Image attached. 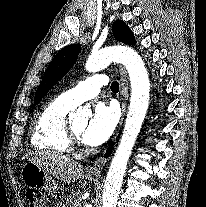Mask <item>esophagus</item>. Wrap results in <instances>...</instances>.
I'll return each instance as SVG.
<instances>
[{"instance_id":"esophagus-1","label":"esophagus","mask_w":206,"mask_h":207,"mask_svg":"<svg viewBox=\"0 0 206 207\" xmlns=\"http://www.w3.org/2000/svg\"><path fill=\"white\" fill-rule=\"evenodd\" d=\"M119 72H120V101H121V118L117 127V130L112 138L113 142L118 135V132L122 126L123 119L126 113V107H127V99H128V87H127V73L126 70L124 69L123 66H119ZM106 150L103 151V153L93 162L91 166L87 168V173L89 175H92L94 177L100 178L101 173L105 164V155H106Z\"/></svg>"}]
</instances>
